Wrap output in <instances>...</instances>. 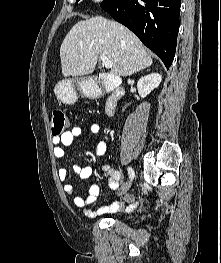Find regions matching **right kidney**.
Returning a JSON list of instances; mask_svg holds the SVG:
<instances>
[{
    "label": "right kidney",
    "instance_id": "1",
    "mask_svg": "<svg viewBox=\"0 0 221 263\" xmlns=\"http://www.w3.org/2000/svg\"><path fill=\"white\" fill-rule=\"evenodd\" d=\"M162 80L159 73H151L141 77L137 83L138 93L142 98H145L155 88H157Z\"/></svg>",
    "mask_w": 221,
    "mask_h": 263
}]
</instances>
